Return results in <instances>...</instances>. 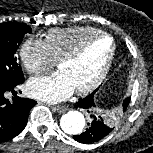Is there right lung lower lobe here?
<instances>
[{"label":"right lung lower lobe","instance_id":"98d812e1","mask_svg":"<svg viewBox=\"0 0 153 153\" xmlns=\"http://www.w3.org/2000/svg\"><path fill=\"white\" fill-rule=\"evenodd\" d=\"M0 82V142L7 141L17 136L25 128L29 111L36 101L27 98L15 97L12 101L5 98V93L14 91V88L22 84Z\"/></svg>","mask_w":153,"mask_h":153}]
</instances>
